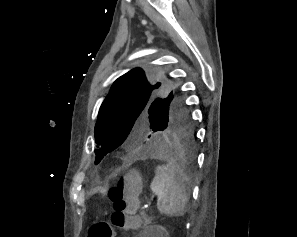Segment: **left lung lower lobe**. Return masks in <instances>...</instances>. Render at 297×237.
Returning a JSON list of instances; mask_svg holds the SVG:
<instances>
[{"label":"left lung lower lobe","mask_w":297,"mask_h":237,"mask_svg":"<svg viewBox=\"0 0 297 237\" xmlns=\"http://www.w3.org/2000/svg\"><path fill=\"white\" fill-rule=\"evenodd\" d=\"M147 144L141 157L168 156L178 159L185 167L193 169L196 157V136L185 105L176 107L164 126L158 129Z\"/></svg>","instance_id":"obj_1"}]
</instances>
